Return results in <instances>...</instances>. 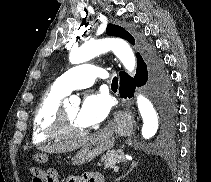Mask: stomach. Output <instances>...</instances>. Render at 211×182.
Listing matches in <instances>:
<instances>
[{
    "label": "stomach",
    "instance_id": "stomach-1",
    "mask_svg": "<svg viewBox=\"0 0 211 182\" xmlns=\"http://www.w3.org/2000/svg\"><path fill=\"white\" fill-rule=\"evenodd\" d=\"M114 145L113 132L104 130L90 137L86 144L72 158V165H83L95 159L98 155L109 150ZM36 155V158H39Z\"/></svg>",
    "mask_w": 211,
    "mask_h": 182
}]
</instances>
